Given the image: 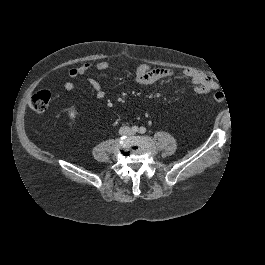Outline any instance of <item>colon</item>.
Masks as SVG:
<instances>
[{
    "label": "colon",
    "mask_w": 265,
    "mask_h": 265,
    "mask_svg": "<svg viewBox=\"0 0 265 265\" xmlns=\"http://www.w3.org/2000/svg\"><path fill=\"white\" fill-rule=\"evenodd\" d=\"M213 99L216 102H223L225 100V94L223 92H217L213 95ZM51 101V93L47 90L37 91L31 98L30 107L38 113L44 112Z\"/></svg>",
    "instance_id": "obj_1"
}]
</instances>
